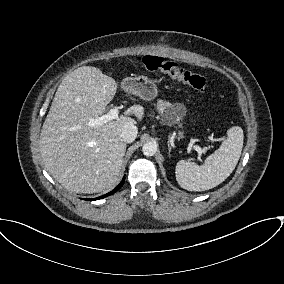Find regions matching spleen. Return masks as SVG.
<instances>
[{
    "mask_svg": "<svg viewBox=\"0 0 284 284\" xmlns=\"http://www.w3.org/2000/svg\"><path fill=\"white\" fill-rule=\"evenodd\" d=\"M243 138L241 127H231L220 148L208 156L204 164L180 160L175 169L178 184L189 191H204L225 181L239 161Z\"/></svg>",
    "mask_w": 284,
    "mask_h": 284,
    "instance_id": "obj_1",
    "label": "spleen"
}]
</instances>
